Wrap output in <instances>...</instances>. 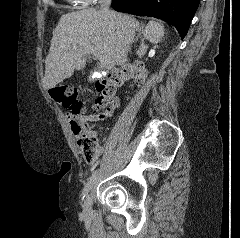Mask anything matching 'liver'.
Masks as SVG:
<instances>
[{
	"mask_svg": "<svg viewBox=\"0 0 240 238\" xmlns=\"http://www.w3.org/2000/svg\"><path fill=\"white\" fill-rule=\"evenodd\" d=\"M138 28L139 22L129 15L107 16L92 8L62 15L45 60L44 87L53 88L75 69L83 70L90 59L88 47L97 48L113 65H123L130 49L128 36Z\"/></svg>",
	"mask_w": 240,
	"mask_h": 238,
	"instance_id": "6515ba94",
	"label": "liver"
}]
</instances>
